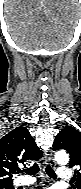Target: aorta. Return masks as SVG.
Masks as SVG:
<instances>
[{
	"instance_id": "762f6f07",
	"label": "aorta",
	"mask_w": 81,
	"mask_h": 189,
	"mask_svg": "<svg viewBox=\"0 0 81 189\" xmlns=\"http://www.w3.org/2000/svg\"><path fill=\"white\" fill-rule=\"evenodd\" d=\"M55 160L58 164L65 165L69 162V156L65 151H58L55 154Z\"/></svg>"
}]
</instances>
